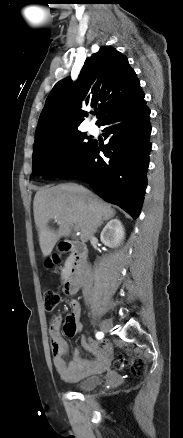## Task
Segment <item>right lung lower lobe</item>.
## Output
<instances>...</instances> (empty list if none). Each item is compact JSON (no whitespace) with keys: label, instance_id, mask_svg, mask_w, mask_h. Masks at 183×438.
Returning a JSON list of instances; mask_svg holds the SVG:
<instances>
[{"label":"right lung lower lobe","instance_id":"1","mask_svg":"<svg viewBox=\"0 0 183 438\" xmlns=\"http://www.w3.org/2000/svg\"><path fill=\"white\" fill-rule=\"evenodd\" d=\"M150 110L142 93L108 114L98 125L109 143H92L55 177L76 176L85 180L100 197L117 204L134 219L141 211L147 186L151 143ZM102 151L105 157H101Z\"/></svg>","mask_w":183,"mask_h":438}]
</instances>
